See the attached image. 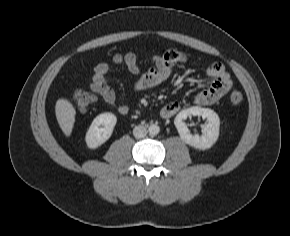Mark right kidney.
I'll return each instance as SVG.
<instances>
[{"label": "right kidney", "mask_w": 290, "mask_h": 236, "mask_svg": "<svg viewBox=\"0 0 290 236\" xmlns=\"http://www.w3.org/2000/svg\"><path fill=\"white\" fill-rule=\"evenodd\" d=\"M116 122V116L110 112L96 116L85 136L87 146L95 149L105 143L112 135Z\"/></svg>", "instance_id": "obj_1"}]
</instances>
